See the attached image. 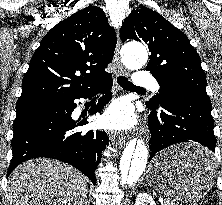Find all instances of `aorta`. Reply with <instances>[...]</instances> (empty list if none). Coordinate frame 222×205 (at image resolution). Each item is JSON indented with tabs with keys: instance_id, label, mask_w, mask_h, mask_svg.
<instances>
[{
	"instance_id": "aorta-1",
	"label": "aorta",
	"mask_w": 222,
	"mask_h": 205,
	"mask_svg": "<svg viewBox=\"0 0 222 205\" xmlns=\"http://www.w3.org/2000/svg\"><path fill=\"white\" fill-rule=\"evenodd\" d=\"M123 62L128 68H138L148 59L141 43H128L123 48ZM148 162V148L142 139H133L126 146L119 164L117 185L121 190L133 187L143 174Z\"/></svg>"
}]
</instances>
